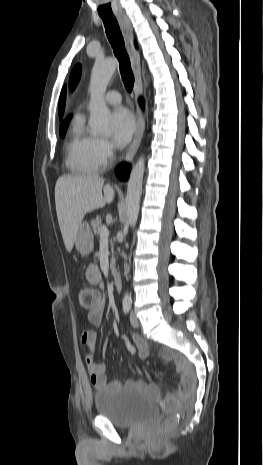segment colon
<instances>
[{
    "label": "colon",
    "instance_id": "obj_1",
    "mask_svg": "<svg viewBox=\"0 0 263 465\" xmlns=\"http://www.w3.org/2000/svg\"><path fill=\"white\" fill-rule=\"evenodd\" d=\"M77 299L81 308L88 313L97 307L101 300V295L100 292L94 288L83 287L78 291ZM185 382L188 387L191 385L190 378L187 377ZM162 405L164 409L170 413L163 424V429L167 431L172 429L177 422V419L173 414V411L176 407V402L170 399H164Z\"/></svg>",
    "mask_w": 263,
    "mask_h": 465
}]
</instances>
